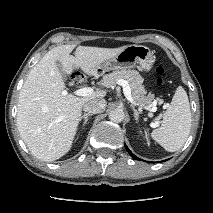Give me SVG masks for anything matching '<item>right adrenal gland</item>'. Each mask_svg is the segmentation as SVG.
Returning a JSON list of instances; mask_svg holds the SVG:
<instances>
[{
  "label": "right adrenal gland",
  "instance_id": "2a0ac1e0",
  "mask_svg": "<svg viewBox=\"0 0 213 213\" xmlns=\"http://www.w3.org/2000/svg\"><path fill=\"white\" fill-rule=\"evenodd\" d=\"M92 115H93V114H91V113H85L84 115H82V116L80 117V122L83 120V127L86 125L89 116H92Z\"/></svg>",
  "mask_w": 213,
  "mask_h": 213
}]
</instances>
